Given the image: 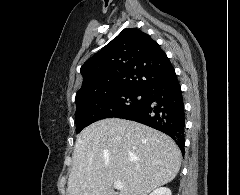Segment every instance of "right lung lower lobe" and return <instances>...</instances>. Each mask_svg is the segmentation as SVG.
Segmentation results:
<instances>
[{"label": "right lung lower lobe", "instance_id": "right-lung-lower-lobe-1", "mask_svg": "<svg viewBox=\"0 0 240 195\" xmlns=\"http://www.w3.org/2000/svg\"><path fill=\"white\" fill-rule=\"evenodd\" d=\"M117 118L137 121L169 135L184 154V102L175 72L152 85L138 106Z\"/></svg>", "mask_w": 240, "mask_h": 195}]
</instances>
